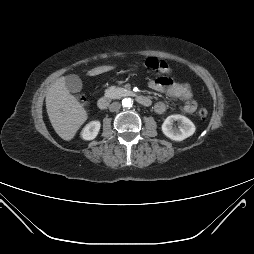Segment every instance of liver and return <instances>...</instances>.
<instances>
[{"mask_svg":"<svg viewBox=\"0 0 254 254\" xmlns=\"http://www.w3.org/2000/svg\"><path fill=\"white\" fill-rule=\"evenodd\" d=\"M110 65L99 66L88 72L96 76L113 70ZM46 109L55 132L66 141L71 140L87 120V113L76 97L66 88L65 77L57 79L46 94Z\"/></svg>","mask_w":254,"mask_h":254,"instance_id":"obj_1","label":"liver"}]
</instances>
